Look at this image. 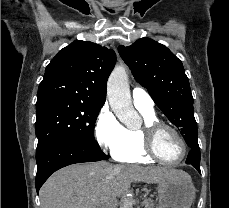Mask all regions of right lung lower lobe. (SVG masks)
<instances>
[{"instance_id": "98d812e1", "label": "right lung lower lobe", "mask_w": 229, "mask_h": 208, "mask_svg": "<svg viewBox=\"0 0 229 208\" xmlns=\"http://www.w3.org/2000/svg\"><path fill=\"white\" fill-rule=\"evenodd\" d=\"M107 156L99 146H93L76 138L57 139L36 152L37 174L36 191L47 178L60 168L81 162L106 160Z\"/></svg>"}]
</instances>
